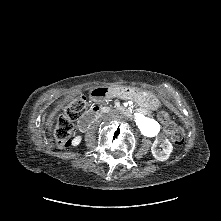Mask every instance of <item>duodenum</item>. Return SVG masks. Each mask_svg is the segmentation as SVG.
Segmentation results:
<instances>
[{
    "label": "duodenum",
    "mask_w": 221,
    "mask_h": 221,
    "mask_svg": "<svg viewBox=\"0 0 221 221\" xmlns=\"http://www.w3.org/2000/svg\"><path fill=\"white\" fill-rule=\"evenodd\" d=\"M127 90L124 88H110L108 86L96 87L92 91V98L96 102L108 101L112 95H124ZM109 109L104 106H93L89 108L85 114L79 119L78 126L81 131H87L94 119L104 113H108Z\"/></svg>",
    "instance_id": "410a0bca"
}]
</instances>
